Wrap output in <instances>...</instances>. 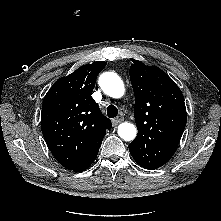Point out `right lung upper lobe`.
I'll list each match as a JSON object with an SVG mask.
<instances>
[{
    "label": "right lung upper lobe",
    "instance_id": "cb5924a9",
    "mask_svg": "<svg viewBox=\"0 0 221 221\" xmlns=\"http://www.w3.org/2000/svg\"><path fill=\"white\" fill-rule=\"evenodd\" d=\"M106 62H94L56 81L42 105L41 129L52 155L72 170L99 150L111 121L91 94Z\"/></svg>",
    "mask_w": 221,
    "mask_h": 221
}]
</instances>
